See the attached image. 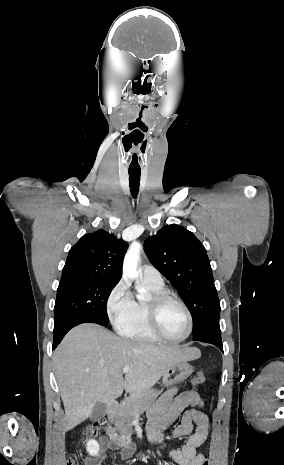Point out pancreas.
<instances>
[{
    "label": "pancreas",
    "instance_id": "cf45deb5",
    "mask_svg": "<svg viewBox=\"0 0 284 465\" xmlns=\"http://www.w3.org/2000/svg\"><path fill=\"white\" fill-rule=\"evenodd\" d=\"M162 391H155V389H146V391H138V393H131L130 397L124 399L117 413L109 417L110 423L115 425V431L119 433V439L122 441H130L132 431V421L136 415H143L154 403L155 399L159 397Z\"/></svg>",
    "mask_w": 284,
    "mask_h": 465
}]
</instances>
